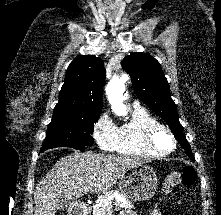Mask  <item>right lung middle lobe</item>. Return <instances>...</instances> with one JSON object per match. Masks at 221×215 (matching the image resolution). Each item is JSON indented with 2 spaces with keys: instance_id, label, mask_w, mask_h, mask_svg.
<instances>
[{
  "instance_id": "right-lung-middle-lobe-1",
  "label": "right lung middle lobe",
  "mask_w": 221,
  "mask_h": 215,
  "mask_svg": "<svg viewBox=\"0 0 221 215\" xmlns=\"http://www.w3.org/2000/svg\"><path fill=\"white\" fill-rule=\"evenodd\" d=\"M100 113L63 111L53 113L51 123L48 125L43 149L54 147L90 146L93 144L91 136L94 123Z\"/></svg>"
}]
</instances>
